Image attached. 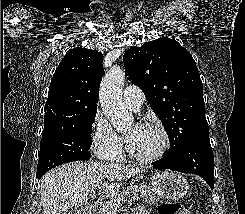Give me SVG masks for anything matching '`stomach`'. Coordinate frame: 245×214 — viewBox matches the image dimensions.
<instances>
[{"label":"stomach","instance_id":"stomach-1","mask_svg":"<svg viewBox=\"0 0 245 214\" xmlns=\"http://www.w3.org/2000/svg\"><path fill=\"white\" fill-rule=\"evenodd\" d=\"M151 188L159 196L169 200H179L189 191L187 180L171 171H159L151 176Z\"/></svg>","mask_w":245,"mask_h":214}]
</instances>
